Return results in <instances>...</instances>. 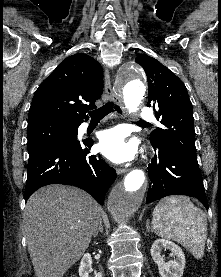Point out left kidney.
I'll return each instance as SVG.
<instances>
[{
	"mask_svg": "<svg viewBox=\"0 0 221 277\" xmlns=\"http://www.w3.org/2000/svg\"><path fill=\"white\" fill-rule=\"evenodd\" d=\"M162 249H167L174 255V260L165 262L161 255ZM151 256L158 265L161 277H182L185 268V256L182 249L174 242L166 239H157L151 247Z\"/></svg>",
	"mask_w": 221,
	"mask_h": 277,
	"instance_id": "1",
	"label": "left kidney"
}]
</instances>
